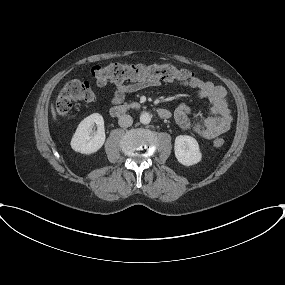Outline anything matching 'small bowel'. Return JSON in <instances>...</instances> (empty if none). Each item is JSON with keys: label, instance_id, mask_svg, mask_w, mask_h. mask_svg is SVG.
Instances as JSON below:
<instances>
[{"label": "small bowel", "instance_id": "obj_1", "mask_svg": "<svg viewBox=\"0 0 285 285\" xmlns=\"http://www.w3.org/2000/svg\"><path fill=\"white\" fill-rule=\"evenodd\" d=\"M158 80H139L131 83H116L112 103L119 104L127 93H133L145 88L159 85ZM183 86L194 90L198 98L210 101L211 108L206 116H201L193 121L189 114L192 109L186 104L177 106L174 118L178 126L185 131H190L198 137L213 139L229 130L232 116L227 100L226 90L222 86L215 85L210 81L195 78L189 83H181Z\"/></svg>", "mask_w": 285, "mask_h": 285}]
</instances>
